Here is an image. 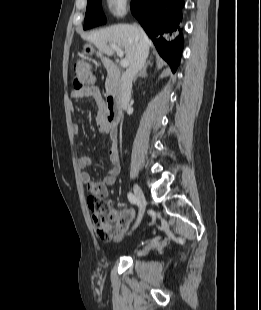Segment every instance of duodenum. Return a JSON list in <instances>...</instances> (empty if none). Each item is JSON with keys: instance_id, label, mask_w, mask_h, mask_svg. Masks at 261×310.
I'll use <instances>...</instances> for the list:
<instances>
[{"instance_id": "duodenum-1", "label": "duodenum", "mask_w": 261, "mask_h": 310, "mask_svg": "<svg viewBox=\"0 0 261 310\" xmlns=\"http://www.w3.org/2000/svg\"><path fill=\"white\" fill-rule=\"evenodd\" d=\"M105 66L111 79L105 102L106 122L114 131L120 114V71L112 61H106Z\"/></svg>"}]
</instances>
